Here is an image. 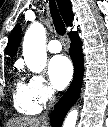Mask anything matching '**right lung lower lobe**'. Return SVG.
I'll use <instances>...</instances> for the list:
<instances>
[{
  "label": "right lung lower lobe",
  "mask_w": 108,
  "mask_h": 127,
  "mask_svg": "<svg viewBox=\"0 0 108 127\" xmlns=\"http://www.w3.org/2000/svg\"><path fill=\"white\" fill-rule=\"evenodd\" d=\"M69 37L71 40L69 54L74 64V78L66 91L64 96L56 104L54 110L51 113L50 121L53 127H60L65 118V115L77 101L80 89L82 85V75H83V54H82V44L77 32H69Z\"/></svg>",
  "instance_id": "1"
}]
</instances>
